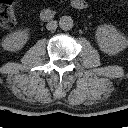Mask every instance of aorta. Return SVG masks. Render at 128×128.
Instances as JSON below:
<instances>
[{"label": "aorta", "instance_id": "762f6f07", "mask_svg": "<svg viewBox=\"0 0 128 128\" xmlns=\"http://www.w3.org/2000/svg\"><path fill=\"white\" fill-rule=\"evenodd\" d=\"M73 19L70 16H62L59 20V26L62 30H70L73 28Z\"/></svg>", "mask_w": 128, "mask_h": 128}]
</instances>
